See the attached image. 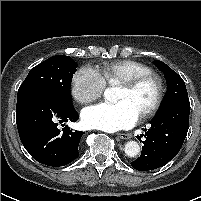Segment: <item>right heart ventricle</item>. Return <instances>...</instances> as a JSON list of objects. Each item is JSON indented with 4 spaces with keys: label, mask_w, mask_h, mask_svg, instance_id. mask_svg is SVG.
I'll return each instance as SVG.
<instances>
[{
    "label": "right heart ventricle",
    "mask_w": 201,
    "mask_h": 201,
    "mask_svg": "<svg viewBox=\"0 0 201 201\" xmlns=\"http://www.w3.org/2000/svg\"><path fill=\"white\" fill-rule=\"evenodd\" d=\"M147 72H151L150 67L130 59L107 62L100 69L103 79L109 84H119L126 79Z\"/></svg>",
    "instance_id": "obj_1"
}]
</instances>
